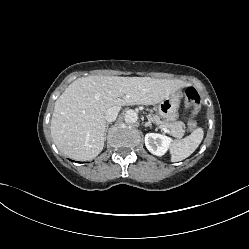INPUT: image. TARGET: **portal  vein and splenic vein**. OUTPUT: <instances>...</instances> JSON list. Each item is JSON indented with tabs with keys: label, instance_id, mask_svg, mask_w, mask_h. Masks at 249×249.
Returning <instances> with one entry per match:
<instances>
[{
	"label": "portal vein and splenic vein",
	"instance_id": "obj_1",
	"mask_svg": "<svg viewBox=\"0 0 249 249\" xmlns=\"http://www.w3.org/2000/svg\"><path fill=\"white\" fill-rule=\"evenodd\" d=\"M162 130H163L164 132H166V133H170V130L167 129V128H165V127H163Z\"/></svg>",
	"mask_w": 249,
	"mask_h": 249
}]
</instances>
